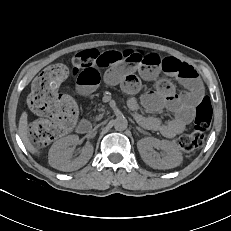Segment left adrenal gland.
Segmentation results:
<instances>
[{
  "instance_id": "1",
  "label": "left adrenal gland",
  "mask_w": 231,
  "mask_h": 231,
  "mask_svg": "<svg viewBox=\"0 0 231 231\" xmlns=\"http://www.w3.org/2000/svg\"><path fill=\"white\" fill-rule=\"evenodd\" d=\"M136 129H137L140 133L146 134V132H145L144 130H142L140 127H136Z\"/></svg>"
}]
</instances>
